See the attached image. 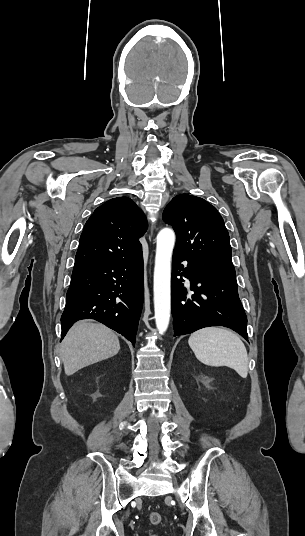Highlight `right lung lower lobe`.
I'll use <instances>...</instances> for the list:
<instances>
[{"mask_svg": "<svg viewBox=\"0 0 305 536\" xmlns=\"http://www.w3.org/2000/svg\"><path fill=\"white\" fill-rule=\"evenodd\" d=\"M143 296L142 252L73 271L61 317L62 338L74 322L92 318L135 345Z\"/></svg>", "mask_w": 305, "mask_h": 536, "instance_id": "1", "label": "right lung lower lobe"}]
</instances>
